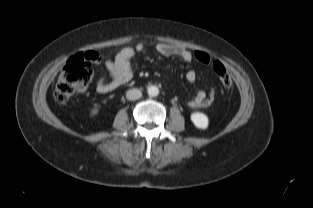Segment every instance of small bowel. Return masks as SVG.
<instances>
[{
	"label": "small bowel",
	"mask_w": 313,
	"mask_h": 208,
	"mask_svg": "<svg viewBox=\"0 0 313 208\" xmlns=\"http://www.w3.org/2000/svg\"><path fill=\"white\" fill-rule=\"evenodd\" d=\"M146 49L144 43H138L135 47H125L119 51L115 57L108 58L105 63V69L107 70L110 80L105 77H101L96 84V91L100 94L110 93L120 86L126 84L132 78V65L131 62L136 53H141ZM156 51L165 56H177L184 62H190L193 60V53L185 48L178 47L169 43H157L155 45ZM96 59L93 61L96 65L101 64V59L97 53ZM196 72L190 69L186 73V79L190 83H194L196 80ZM206 93L203 90L196 92L193 99L188 101L187 105L190 108L202 107L203 101L206 99Z\"/></svg>",
	"instance_id": "1"
}]
</instances>
